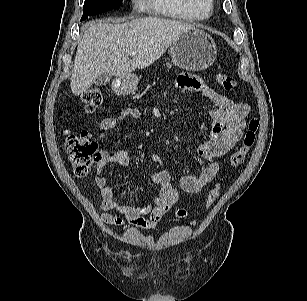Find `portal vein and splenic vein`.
I'll use <instances>...</instances> for the list:
<instances>
[{"label": "portal vein and splenic vein", "mask_w": 307, "mask_h": 301, "mask_svg": "<svg viewBox=\"0 0 307 301\" xmlns=\"http://www.w3.org/2000/svg\"><path fill=\"white\" fill-rule=\"evenodd\" d=\"M135 55H136L135 51L130 52V56H135Z\"/></svg>", "instance_id": "portal-vein-and-splenic-vein-1"}]
</instances>
